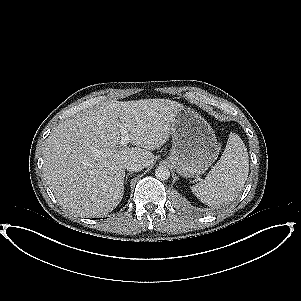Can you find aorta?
Returning <instances> with one entry per match:
<instances>
[{
  "label": "aorta",
  "instance_id": "762f6f07",
  "mask_svg": "<svg viewBox=\"0 0 301 301\" xmlns=\"http://www.w3.org/2000/svg\"><path fill=\"white\" fill-rule=\"evenodd\" d=\"M155 176H156L157 179H159L161 181H165V180L169 179V177H170V171L165 166H159L155 170Z\"/></svg>",
  "mask_w": 301,
  "mask_h": 301
}]
</instances>
